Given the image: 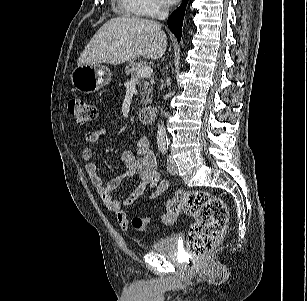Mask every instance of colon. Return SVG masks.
Instances as JSON below:
<instances>
[{"mask_svg": "<svg viewBox=\"0 0 307 301\" xmlns=\"http://www.w3.org/2000/svg\"><path fill=\"white\" fill-rule=\"evenodd\" d=\"M69 111L79 126H84L97 118V107L83 99H72ZM193 217L186 240L188 252L201 256L212 250L222 239L228 219L225 202L205 190L178 191L167 202L166 213L160 218L132 219V226L138 231L145 230L152 222L173 224L181 213Z\"/></svg>", "mask_w": 307, "mask_h": 301, "instance_id": "1", "label": "colon"}]
</instances>
